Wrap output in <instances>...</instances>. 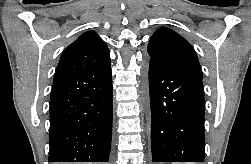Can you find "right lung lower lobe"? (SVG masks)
<instances>
[{"label": "right lung lower lobe", "mask_w": 251, "mask_h": 164, "mask_svg": "<svg viewBox=\"0 0 251 164\" xmlns=\"http://www.w3.org/2000/svg\"><path fill=\"white\" fill-rule=\"evenodd\" d=\"M111 135L110 64L53 82L49 162H108Z\"/></svg>", "instance_id": "1"}]
</instances>
